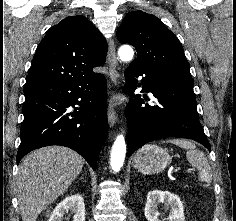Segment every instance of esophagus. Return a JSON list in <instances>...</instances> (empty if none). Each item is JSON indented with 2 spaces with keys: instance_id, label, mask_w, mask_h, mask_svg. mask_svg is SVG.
<instances>
[{
  "instance_id": "1",
  "label": "esophagus",
  "mask_w": 236,
  "mask_h": 221,
  "mask_svg": "<svg viewBox=\"0 0 236 221\" xmlns=\"http://www.w3.org/2000/svg\"><path fill=\"white\" fill-rule=\"evenodd\" d=\"M108 63L110 66V72H109V78L111 81L112 86H116L117 84V76L114 73V70L118 67V60L115 52V45L113 39H110L109 41V48H108ZM108 123L110 127H113L116 122L118 115L116 113L115 107H114V94L112 93L110 99H109V105H108Z\"/></svg>"
}]
</instances>
